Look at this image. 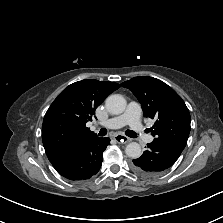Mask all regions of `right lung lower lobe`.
I'll use <instances>...</instances> for the list:
<instances>
[{
	"label": "right lung lower lobe",
	"instance_id": "1",
	"mask_svg": "<svg viewBox=\"0 0 223 223\" xmlns=\"http://www.w3.org/2000/svg\"><path fill=\"white\" fill-rule=\"evenodd\" d=\"M109 143V138L95 137L83 147L60 155L50 162L67 179H89L98 173L102 165V153Z\"/></svg>",
	"mask_w": 223,
	"mask_h": 223
}]
</instances>
